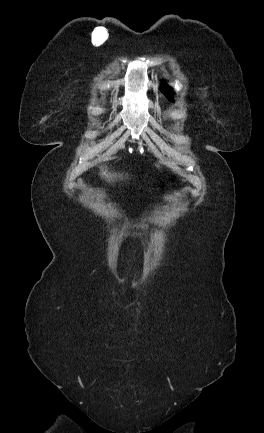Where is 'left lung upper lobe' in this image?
Instances as JSON below:
<instances>
[{
  "instance_id": "1",
  "label": "left lung upper lobe",
  "mask_w": 264,
  "mask_h": 433,
  "mask_svg": "<svg viewBox=\"0 0 264 433\" xmlns=\"http://www.w3.org/2000/svg\"><path fill=\"white\" fill-rule=\"evenodd\" d=\"M161 88H162V89H165V90L163 91V93H164V94H165V95H166L170 100H173V99H172V92L166 90V89H170V87H167V86L162 85Z\"/></svg>"
}]
</instances>
